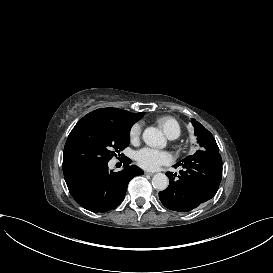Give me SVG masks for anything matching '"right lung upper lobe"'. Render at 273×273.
Segmentation results:
<instances>
[{"instance_id":"right-lung-upper-lobe-1","label":"right lung upper lobe","mask_w":273,"mask_h":273,"mask_svg":"<svg viewBox=\"0 0 273 273\" xmlns=\"http://www.w3.org/2000/svg\"><path fill=\"white\" fill-rule=\"evenodd\" d=\"M143 114L144 112L131 113L117 108H103L92 111L86 116H91L101 120L111 121L132 127L135 122L142 118Z\"/></svg>"}]
</instances>
